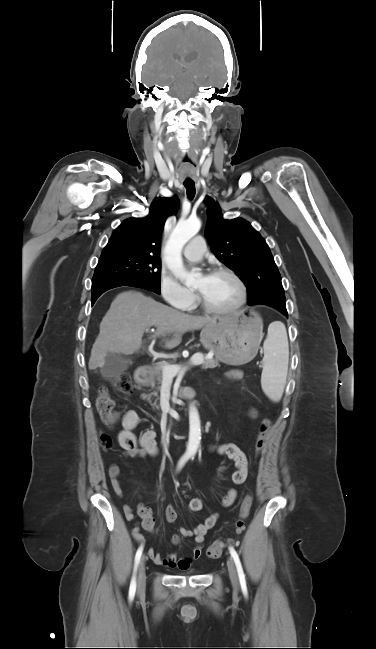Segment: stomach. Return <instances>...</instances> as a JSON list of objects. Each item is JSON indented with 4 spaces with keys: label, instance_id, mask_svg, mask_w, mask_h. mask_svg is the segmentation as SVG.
Here are the masks:
<instances>
[{
    "label": "stomach",
    "instance_id": "1",
    "mask_svg": "<svg viewBox=\"0 0 376 649\" xmlns=\"http://www.w3.org/2000/svg\"><path fill=\"white\" fill-rule=\"evenodd\" d=\"M263 323L260 317L231 315L206 325L200 334L203 346L212 350L215 357L231 365L252 360L262 339Z\"/></svg>",
    "mask_w": 376,
    "mask_h": 649
}]
</instances>
